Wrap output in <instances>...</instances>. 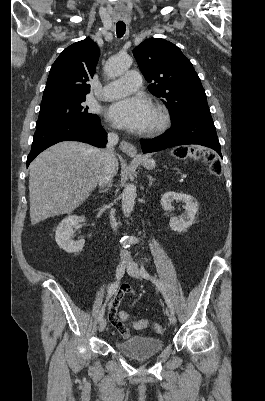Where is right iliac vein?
Listing matches in <instances>:
<instances>
[{
	"mask_svg": "<svg viewBox=\"0 0 265 401\" xmlns=\"http://www.w3.org/2000/svg\"><path fill=\"white\" fill-rule=\"evenodd\" d=\"M127 267H128V264H123V263H121V264H119V265L117 266L116 272H115V275H116V278H117V279H120V278L124 275L125 269H126ZM105 328H106V320H105V319H102V320L100 321V323H99V331L102 332V331L105 330Z\"/></svg>",
	"mask_w": 265,
	"mask_h": 401,
	"instance_id": "63e3f726",
	"label": "right iliac vein"
}]
</instances>
